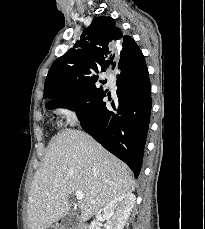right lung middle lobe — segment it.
Segmentation results:
<instances>
[{"mask_svg":"<svg viewBox=\"0 0 205 229\" xmlns=\"http://www.w3.org/2000/svg\"><path fill=\"white\" fill-rule=\"evenodd\" d=\"M96 82L97 80H95L93 83L91 84H83L80 85L73 93H71L70 95L67 96H63V97H59L61 101L63 102H69L72 99L79 97L81 95H84L86 93H88L90 90L96 88ZM48 107V105H47Z\"/></svg>","mask_w":205,"mask_h":229,"instance_id":"obj_1","label":"right lung middle lobe"}]
</instances>
